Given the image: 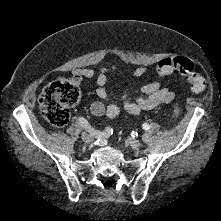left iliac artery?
I'll list each match as a JSON object with an SVG mask.
<instances>
[{
  "label": "left iliac artery",
  "instance_id": "left-iliac-artery-1",
  "mask_svg": "<svg viewBox=\"0 0 221 221\" xmlns=\"http://www.w3.org/2000/svg\"><path fill=\"white\" fill-rule=\"evenodd\" d=\"M142 127H143L144 130H148L150 128V126L147 123H144L142 125Z\"/></svg>",
  "mask_w": 221,
  "mask_h": 221
}]
</instances>
